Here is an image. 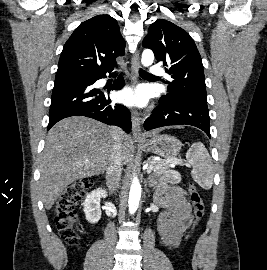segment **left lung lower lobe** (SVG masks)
Instances as JSON below:
<instances>
[{"label": "left lung lower lobe", "instance_id": "obj_1", "mask_svg": "<svg viewBox=\"0 0 267 270\" xmlns=\"http://www.w3.org/2000/svg\"><path fill=\"white\" fill-rule=\"evenodd\" d=\"M171 125H192L203 130L211 138L207 103L191 99L159 100V105L145 121L144 128L148 131Z\"/></svg>", "mask_w": 267, "mask_h": 270}]
</instances>
